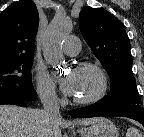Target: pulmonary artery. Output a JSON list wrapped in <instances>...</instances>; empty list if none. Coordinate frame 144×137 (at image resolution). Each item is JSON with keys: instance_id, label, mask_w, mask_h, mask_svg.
I'll return each mask as SVG.
<instances>
[{"instance_id": "obj_1", "label": "pulmonary artery", "mask_w": 144, "mask_h": 137, "mask_svg": "<svg viewBox=\"0 0 144 137\" xmlns=\"http://www.w3.org/2000/svg\"><path fill=\"white\" fill-rule=\"evenodd\" d=\"M62 49L65 54L74 56L79 53L81 49V42L78 37L70 35L65 39Z\"/></svg>"}]
</instances>
